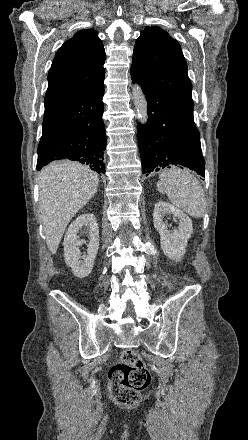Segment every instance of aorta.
Masks as SVG:
<instances>
[{"instance_id": "aorta-1", "label": "aorta", "mask_w": 248, "mask_h": 440, "mask_svg": "<svg viewBox=\"0 0 248 440\" xmlns=\"http://www.w3.org/2000/svg\"><path fill=\"white\" fill-rule=\"evenodd\" d=\"M132 100L140 123L145 125L148 120L147 100L142 88L138 84L132 86Z\"/></svg>"}]
</instances>
